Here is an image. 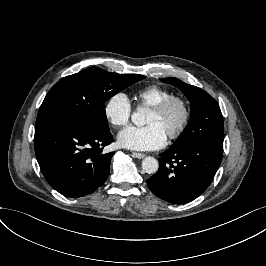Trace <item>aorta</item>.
<instances>
[{"instance_id":"obj_1","label":"aorta","mask_w":266,"mask_h":266,"mask_svg":"<svg viewBox=\"0 0 266 266\" xmlns=\"http://www.w3.org/2000/svg\"><path fill=\"white\" fill-rule=\"evenodd\" d=\"M132 122L137 127H142L146 124V112L144 110L134 112L131 115ZM159 163L152 156H147L142 160V169L148 174H154L158 171Z\"/></svg>"}]
</instances>
